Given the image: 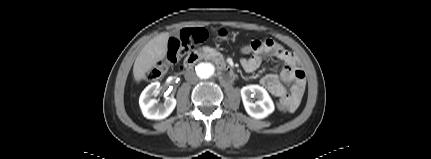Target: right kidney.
Listing matches in <instances>:
<instances>
[{"instance_id": "1", "label": "right kidney", "mask_w": 431, "mask_h": 159, "mask_svg": "<svg viewBox=\"0 0 431 159\" xmlns=\"http://www.w3.org/2000/svg\"><path fill=\"white\" fill-rule=\"evenodd\" d=\"M160 88V82H153L148 85L140 95L139 105L142 114L147 119L162 120L168 117L176 106V99L169 97L163 104H159L154 96Z\"/></svg>"}]
</instances>
